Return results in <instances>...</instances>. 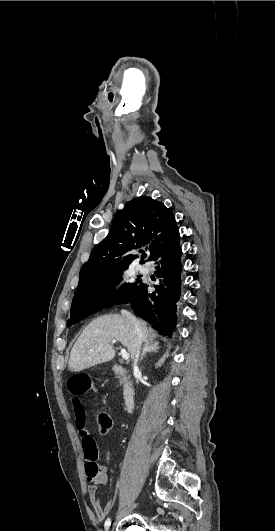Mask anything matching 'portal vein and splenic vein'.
<instances>
[{"label":"portal vein and splenic vein","mask_w":275,"mask_h":531,"mask_svg":"<svg viewBox=\"0 0 275 531\" xmlns=\"http://www.w3.org/2000/svg\"><path fill=\"white\" fill-rule=\"evenodd\" d=\"M112 343H117V341H115V339H113ZM120 351H121L122 359H125V361H128V359H130L129 353H127V351H125V349H121V347H120Z\"/></svg>","instance_id":"portal-vein-and-splenic-vein-1"}]
</instances>
